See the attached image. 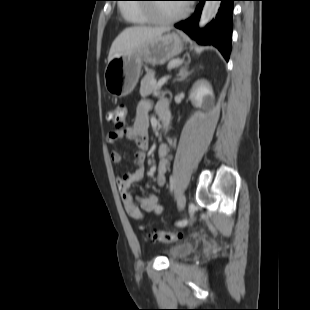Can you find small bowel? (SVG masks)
<instances>
[{
  "instance_id": "obj_1",
  "label": "small bowel",
  "mask_w": 310,
  "mask_h": 310,
  "mask_svg": "<svg viewBox=\"0 0 310 310\" xmlns=\"http://www.w3.org/2000/svg\"><path fill=\"white\" fill-rule=\"evenodd\" d=\"M155 109L159 115L162 112L169 114V104L164 100L159 101ZM150 110L151 105L149 101H141L138 104L134 122L130 127L125 130H112L107 134V142L109 144H114L125 136L135 140L139 146L140 150L134 160V170L122 174L117 179L118 190L124 208L130 217L138 221L142 220L146 213L159 215L163 212V207L159 203L157 195L154 193H149L146 196L134 195L130 190L131 184L141 180L145 174V151L148 148ZM159 155L160 161L157 168L156 181L159 186H163L166 182V172L170 161L168 148L161 146ZM110 158L114 163H119L122 159L121 154L115 149L110 151Z\"/></svg>"
}]
</instances>
